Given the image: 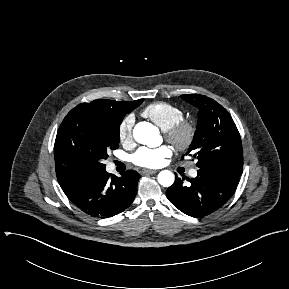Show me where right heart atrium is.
<instances>
[{"label": "right heart atrium", "mask_w": 289, "mask_h": 289, "mask_svg": "<svg viewBox=\"0 0 289 289\" xmlns=\"http://www.w3.org/2000/svg\"><path fill=\"white\" fill-rule=\"evenodd\" d=\"M133 127L134 117L133 115H127L120 123L118 129L119 139L124 144H129L133 140Z\"/></svg>", "instance_id": "1"}]
</instances>
